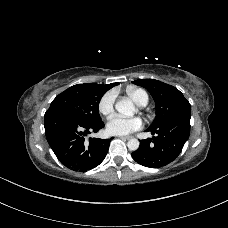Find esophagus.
<instances>
[{
	"label": "esophagus",
	"instance_id": "34e87169",
	"mask_svg": "<svg viewBox=\"0 0 228 228\" xmlns=\"http://www.w3.org/2000/svg\"><path fill=\"white\" fill-rule=\"evenodd\" d=\"M118 137L121 139H126V140H129L132 138L131 136H118Z\"/></svg>",
	"mask_w": 228,
	"mask_h": 228
}]
</instances>
